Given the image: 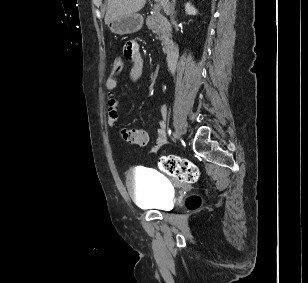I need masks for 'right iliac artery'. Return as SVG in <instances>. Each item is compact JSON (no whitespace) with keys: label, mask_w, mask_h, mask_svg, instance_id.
<instances>
[{"label":"right iliac artery","mask_w":308,"mask_h":283,"mask_svg":"<svg viewBox=\"0 0 308 283\" xmlns=\"http://www.w3.org/2000/svg\"><path fill=\"white\" fill-rule=\"evenodd\" d=\"M169 135H171V130H169Z\"/></svg>","instance_id":"82829eb1"}]
</instances>
